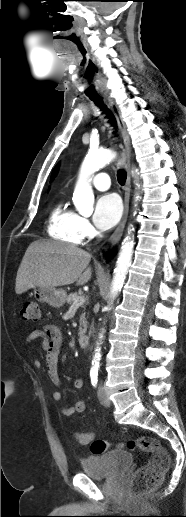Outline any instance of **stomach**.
I'll list each match as a JSON object with an SVG mask.
<instances>
[{
  "instance_id": "obj_1",
  "label": "stomach",
  "mask_w": 186,
  "mask_h": 517,
  "mask_svg": "<svg viewBox=\"0 0 186 517\" xmlns=\"http://www.w3.org/2000/svg\"><path fill=\"white\" fill-rule=\"evenodd\" d=\"M34 294L39 302L48 303L52 307H61L66 301V291L55 287H39Z\"/></svg>"
}]
</instances>
